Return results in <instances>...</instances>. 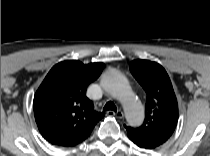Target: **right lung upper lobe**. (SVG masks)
<instances>
[{"label": "right lung upper lobe", "instance_id": "cb5924a9", "mask_svg": "<svg viewBox=\"0 0 210 156\" xmlns=\"http://www.w3.org/2000/svg\"><path fill=\"white\" fill-rule=\"evenodd\" d=\"M101 68L82 70L78 61L56 64L34 97V115L43 137L52 144L74 146L86 139L102 117L86 97L87 86Z\"/></svg>", "mask_w": 210, "mask_h": 156}]
</instances>
